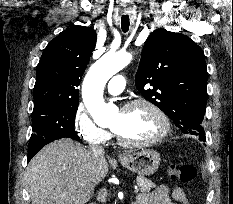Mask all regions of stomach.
<instances>
[{
  "label": "stomach",
  "mask_w": 233,
  "mask_h": 204,
  "mask_svg": "<svg viewBox=\"0 0 233 204\" xmlns=\"http://www.w3.org/2000/svg\"><path fill=\"white\" fill-rule=\"evenodd\" d=\"M120 162L125 168L139 176H149L158 170L161 158L157 151L143 149L122 156Z\"/></svg>",
  "instance_id": "1"
}]
</instances>
